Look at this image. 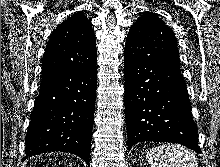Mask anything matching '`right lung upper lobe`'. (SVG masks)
<instances>
[{
    "mask_svg": "<svg viewBox=\"0 0 220 167\" xmlns=\"http://www.w3.org/2000/svg\"><path fill=\"white\" fill-rule=\"evenodd\" d=\"M96 38L91 22L77 12L52 33L42 64V81L96 64Z\"/></svg>",
    "mask_w": 220,
    "mask_h": 167,
    "instance_id": "cb5924a9",
    "label": "right lung upper lobe"
}]
</instances>
